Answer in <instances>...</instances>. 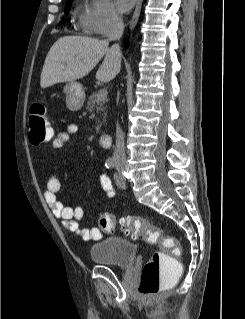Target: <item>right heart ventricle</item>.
<instances>
[{
  "mask_svg": "<svg viewBox=\"0 0 245 319\" xmlns=\"http://www.w3.org/2000/svg\"><path fill=\"white\" fill-rule=\"evenodd\" d=\"M84 17V14L81 16V19Z\"/></svg>",
  "mask_w": 245,
  "mask_h": 319,
  "instance_id": "1",
  "label": "right heart ventricle"
}]
</instances>
